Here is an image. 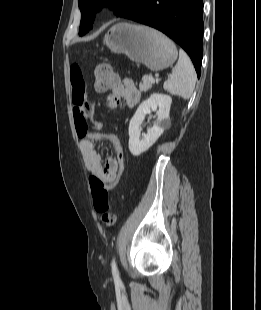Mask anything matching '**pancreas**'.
Masks as SVG:
<instances>
[{"label": "pancreas", "instance_id": "pancreas-1", "mask_svg": "<svg viewBox=\"0 0 261 310\" xmlns=\"http://www.w3.org/2000/svg\"><path fill=\"white\" fill-rule=\"evenodd\" d=\"M153 83H154V79L152 75H144L142 77V82L139 84L140 91L142 92L148 91L152 87Z\"/></svg>", "mask_w": 261, "mask_h": 310}]
</instances>
